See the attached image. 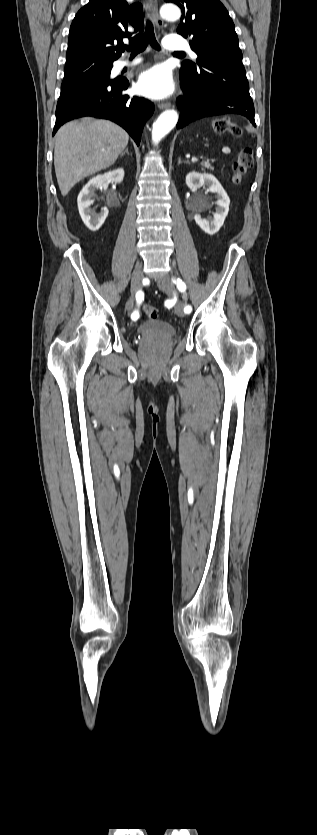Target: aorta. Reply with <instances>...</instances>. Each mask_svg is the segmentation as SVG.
Returning a JSON list of instances; mask_svg holds the SVG:
<instances>
[{
	"label": "aorta",
	"instance_id": "obj_1",
	"mask_svg": "<svg viewBox=\"0 0 317 835\" xmlns=\"http://www.w3.org/2000/svg\"><path fill=\"white\" fill-rule=\"evenodd\" d=\"M161 16L166 20L180 18L181 11L174 4H166L161 7ZM178 114L175 110L164 111L152 126V141L158 144L177 124Z\"/></svg>",
	"mask_w": 317,
	"mask_h": 835
}]
</instances>
